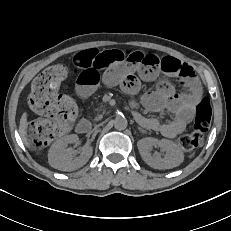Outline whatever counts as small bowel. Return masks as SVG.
Here are the masks:
<instances>
[{
    "label": "small bowel",
    "instance_id": "1",
    "mask_svg": "<svg viewBox=\"0 0 231 231\" xmlns=\"http://www.w3.org/2000/svg\"><path fill=\"white\" fill-rule=\"evenodd\" d=\"M122 52L86 51L78 54L101 56L99 60L81 67L76 85L79 97L83 99L89 97L100 83L106 86L118 85L124 92L134 94L140 88V79L136 72L145 81H153L162 73L175 77L185 88V93H177L171 84L162 81L155 91L146 93L142 98L144 106L150 111L169 110L174 115L171 121L162 122L139 114L135 116L143 126L157 130L166 137H175L183 132L193 118L196 106L202 101L201 86L193 68L173 57L159 58L155 55H149L142 62L127 61L118 56Z\"/></svg>",
    "mask_w": 231,
    "mask_h": 231
}]
</instances>
